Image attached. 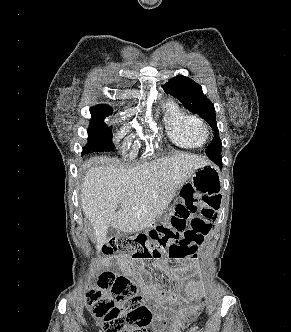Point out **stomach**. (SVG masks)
<instances>
[{
    "label": "stomach",
    "mask_w": 291,
    "mask_h": 332,
    "mask_svg": "<svg viewBox=\"0 0 291 332\" xmlns=\"http://www.w3.org/2000/svg\"><path fill=\"white\" fill-rule=\"evenodd\" d=\"M194 190L201 195L214 196L221 189V175L218 168L212 165H206L197 169L189 178ZM164 216L160 215L150 223L148 227H154L157 223L163 222Z\"/></svg>",
    "instance_id": "0dacf381"
}]
</instances>
